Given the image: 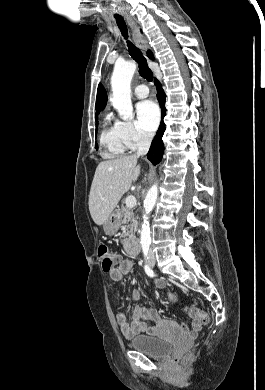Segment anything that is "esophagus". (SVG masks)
<instances>
[{
	"label": "esophagus",
	"mask_w": 265,
	"mask_h": 390,
	"mask_svg": "<svg viewBox=\"0 0 265 390\" xmlns=\"http://www.w3.org/2000/svg\"><path fill=\"white\" fill-rule=\"evenodd\" d=\"M127 21L132 29V37L136 46L142 51L143 54H146L147 42L145 37L140 33L139 27L134 20L127 18Z\"/></svg>",
	"instance_id": "esophagus-1"
}]
</instances>
